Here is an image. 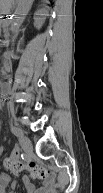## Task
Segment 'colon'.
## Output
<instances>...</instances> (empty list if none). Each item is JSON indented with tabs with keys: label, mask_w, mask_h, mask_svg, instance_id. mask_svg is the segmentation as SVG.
<instances>
[{
	"label": "colon",
	"mask_w": 103,
	"mask_h": 193,
	"mask_svg": "<svg viewBox=\"0 0 103 193\" xmlns=\"http://www.w3.org/2000/svg\"><path fill=\"white\" fill-rule=\"evenodd\" d=\"M5 167L12 172H19L23 169H27L30 175L34 179H48L50 177L49 170L43 165L35 162H29L26 165L22 164L16 157H8L4 161Z\"/></svg>",
	"instance_id": "5ec220e1"
}]
</instances>
